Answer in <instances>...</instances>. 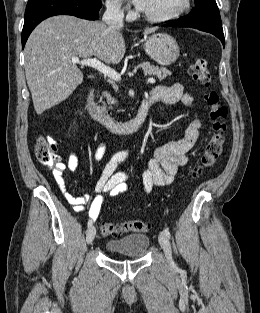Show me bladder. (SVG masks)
<instances>
[{
  "instance_id": "obj_1",
  "label": "bladder",
  "mask_w": 260,
  "mask_h": 313,
  "mask_svg": "<svg viewBox=\"0 0 260 313\" xmlns=\"http://www.w3.org/2000/svg\"><path fill=\"white\" fill-rule=\"evenodd\" d=\"M149 243L146 234H132L109 240L106 248L111 253L123 254L130 259H141L145 256Z\"/></svg>"
}]
</instances>
